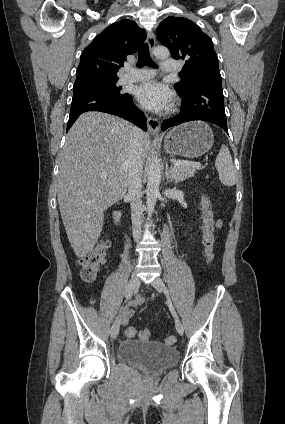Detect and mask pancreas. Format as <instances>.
Listing matches in <instances>:
<instances>
[{"label":"pancreas","mask_w":285,"mask_h":424,"mask_svg":"<svg viewBox=\"0 0 285 424\" xmlns=\"http://www.w3.org/2000/svg\"><path fill=\"white\" fill-rule=\"evenodd\" d=\"M194 167L186 164L175 165L171 168V179L175 182L183 181L195 175Z\"/></svg>","instance_id":"1"}]
</instances>
